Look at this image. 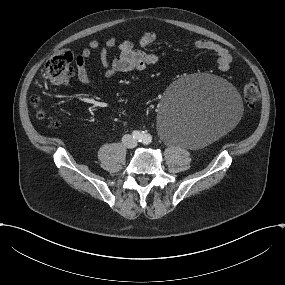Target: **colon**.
<instances>
[{
    "mask_svg": "<svg viewBox=\"0 0 285 285\" xmlns=\"http://www.w3.org/2000/svg\"><path fill=\"white\" fill-rule=\"evenodd\" d=\"M73 55L67 49H60L56 51L45 64V73L51 83L60 85L67 81L73 75L72 68ZM242 96L244 100L249 104H255L260 97L258 86L253 83H247L242 88ZM31 102L34 104L38 103V98L33 97ZM38 118H44V113L39 111L37 114ZM53 127H59L58 121L51 123Z\"/></svg>",
    "mask_w": 285,
    "mask_h": 285,
    "instance_id": "5ec220e1",
    "label": "colon"
}]
</instances>
